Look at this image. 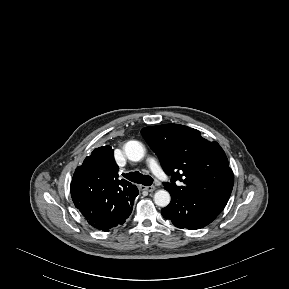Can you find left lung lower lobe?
<instances>
[{"label": "left lung lower lobe", "mask_w": 289, "mask_h": 289, "mask_svg": "<svg viewBox=\"0 0 289 289\" xmlns=\"http://www.w3.org/2000/svg\"><path fill=\"white\" fill-rule=\"evenodd\" d=\"M221 211L192 197L171 195L170 204L161 213L178 228L196 230L210 224Z\"/></svg>", "instance_id": "1"}]
</instances>
